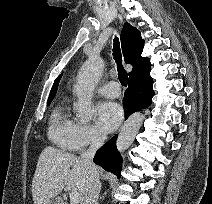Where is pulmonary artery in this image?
<instances>
[{
    "mask_svg": "<svg viewBox=\"0 0 212 204\" xmlns=\"http://www.w3.org/2000/svg\"><path fill=\"white\" fill-rule=\"evenodd\" d=\"M97 92L105 97L116 98L120 95V87L117 82L112 81L98 87Z\"/></svg>",
    "mask_w": 212,
    "mask_h": 204,
    "instance_id": "pulmonary-artery-1",
    "label": "pulmonary artery"
}]
</instances>
